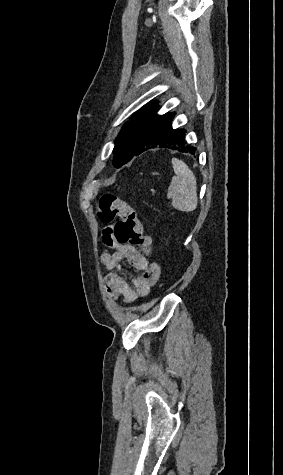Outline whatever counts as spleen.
I'll return each instance as SVG.
<instances>
[{
    "instance_id": "1",
    "label": "spleen",
    "mask_w": 283,
    "mask_h": 475,
    "mask_svg": "<svg viewBox=\"0 0 283 475\" xmlns=\"http://www.w3.org/2000/svg\"><path fill=\"white\" fill-rule=\"evenodd\" d=\"M172 168L176 174L170 182L167 198H171L173 208L180 212H193L198 204L196 178L188 166L172 158Z\"/></svg>"
}]
</instances>
